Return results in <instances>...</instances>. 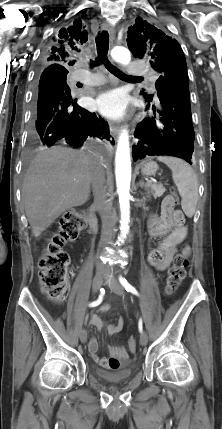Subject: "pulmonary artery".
<instances>
[{
  "mask_svg": "<svg viewBox=\"0 0 222 429\" xmlns=\"http://www.w3.org/2000/svg\"><path fill=\"white\" fill-rule=\"evenodd\" d=\"M129 73L134 76L147 75L151 82H155V77L153 74L148 73L145 66H139L137 62H132L128 65ZM87 70L84 69V62L80 61L78 63V69L76 70V79L78 81L84 82L86 85L97 86L104 82L102 76H91L85 77Z\"/></svg>",
  "mask_w": 222,
  "mask_h": 429,
  "instance_id": "1",
  "label": "pulmonary artery"
}]
</instances>
